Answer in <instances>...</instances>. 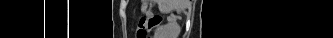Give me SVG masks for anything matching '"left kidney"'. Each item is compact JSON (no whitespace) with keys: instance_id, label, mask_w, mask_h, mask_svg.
I'll use <instances>...</instances> for the list:
<instances>
[{"instance_id":"1","label":"left kidney","mask_w":333,"mask_h":38,"mask_svg":"<svg viewBox=\"0 0 333 38\" xmlns=\"http://www.w3.org/2000/svg\"><path fill=\"white\" fill-rule=\"evenodd\" d=\"M180 26L173 19H168V22L161 26L157 32L162 38H178L180 34Z\"/></svg>"}]
</instances>
